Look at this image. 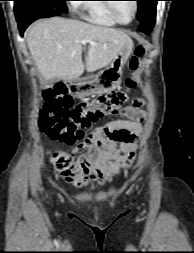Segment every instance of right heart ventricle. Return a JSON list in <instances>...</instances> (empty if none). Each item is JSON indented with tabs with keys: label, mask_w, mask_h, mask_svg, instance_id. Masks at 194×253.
<instances>
[{
	"label": "right heart ventricle",
	"mask_w": 194,
	"mask_h": 253,
	"mask_svg": "<svg viewBox=\"0 0 194 253\" xmlns=\"http://www.w3.org/2000/svg\"><path fill=\"white\" fill-rule=\"evenodd\" d=\"M78 7L84 18L91 23L108 27L118 24L103 0H86L80 3Z\"/></svg>",
	"instance_id": "right-heart-ventricle-1"
}]
</instances>
